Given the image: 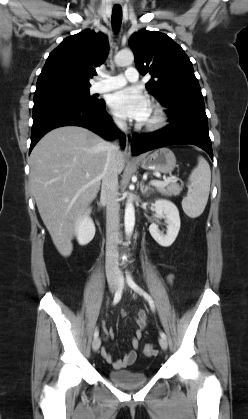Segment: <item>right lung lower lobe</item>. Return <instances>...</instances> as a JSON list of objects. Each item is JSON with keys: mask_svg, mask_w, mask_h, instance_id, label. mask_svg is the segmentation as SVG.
Here are the masks:
<instances>
[{"mask_svg": "<svg viewBox=\"0 0 248 419\" xmlns=\"http://www.w3.org/2000/svg\"><path fill=\"white\" fill-rule=\"evenodd\" d=\"M82 126L105 139L120 137L124 147L125 136L115 127L105 111V102L91 105L65 98L44 99L34 102L30 152L50 130L60 126Z\"/></svg>", "mask_w": 248, "mask_h": 419, "instance_id": "obj_1", "label": "right lung lower lobe"}]
</instances>
